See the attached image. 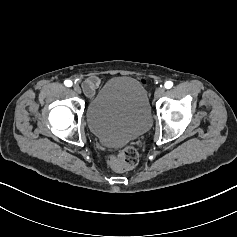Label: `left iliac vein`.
Here are the masks:
<instances>
[{
	"instance_id": "left-iliac-vein-1",
	"label": "left iliac vein",
	"mask_w": 237,
	"mask_h": 237,
	"mask_svg": "<svg viewBox=\"0 0 237 237\" xmlns=\"http://www.w3.org/2000/svg\"><path fill=\"white\" fill-rule=\"evenodd\" d=\"M164 93H165V89L163 87L157 88L155 91V98H159V97L163 96Z\"/></svg>"
}]
</instances>
